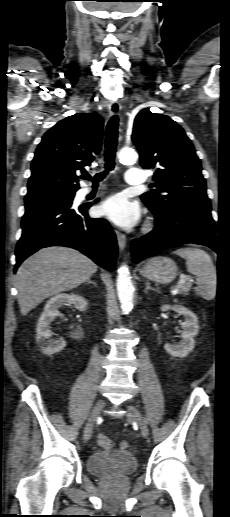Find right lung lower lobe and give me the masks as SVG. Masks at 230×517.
I'll return each instance as SVG.
<instances>
[{"label": "right lung lower lobe", "mask_w": 230, "mask_h": 517, "mask_svg": "<svg viewBox=\"0 0 230 517\" xmlns=\"http://www.w3.org/2000/svg\"><path fill=\"white\" fill-rule=\"evenodd\" d=\"M72 204L39 203L25 206L22 236L16 246L18 266L31 254L49 246L79 250L99 266L113 271L117 258L115 233L105 219L88 216V207L71 209Z\"/></svg>", "instance_id": "obj_1"}]
</instances>
